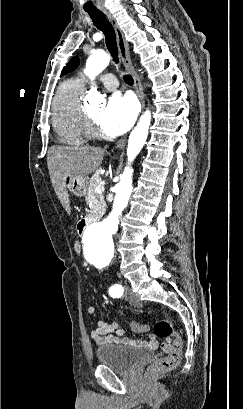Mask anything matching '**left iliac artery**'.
Returning a JSON list of instances; mask_svg holds the SVG:
<instances>
[{
  "instance_id": "obj_1",
  "label": "left iliac artery",
  "mask_w": 243,
  "mask_h": 409,
  "mask_svg": "<svg viewBox=\"0 0 243 409\" xmlns=\"http://www.w3.org/2000/svg\"><path fill=\"white\" fill-rule=\"evenodd\" d=\"M109 294L112 297H120L123 294V288L121 285L115 284L110 287Z\"/></svg>"
}]
</instances>
